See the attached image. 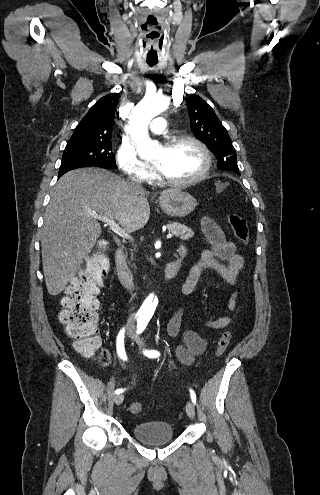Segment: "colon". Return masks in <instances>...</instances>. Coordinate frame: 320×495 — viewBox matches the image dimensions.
I'll use <instances>...</instances> for the list:
<instances>
[{
    "mask_svg": "<svg viewBox=\"0 0 320 495\" xmlns=\"http://www.w3.org/2000/svg\"><path fill=\"white\" fill-rule=\"evenodd\" d=\"M229 187L227 181L216 185L217 193L221 194ZM228 221L236 239L242 244L249 242V229L246 219L238 213H230ZM110 261L106 253L105 244L87 260L86 266L66 289V295L62 300V310L59 318L65 327L67 334L74 339L75 348L84 355H93L98 352L100 342L96 335L98 320L99 300L98 294L105 283L110 271ZM231 340V330L227 328L220 335L216 354L222 356ZM103 363L108 361L107 351L100 353ZM129 410L132 414L142 411V404L134 401Z\"/></svg>",
    "mask_w": 320,
    "mask_h": 495,
    "instance_id": "colon-1",
    "label": "colon"
}]
</instances>
